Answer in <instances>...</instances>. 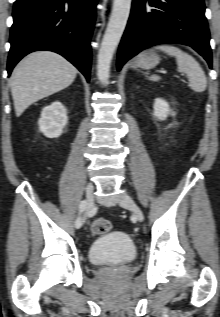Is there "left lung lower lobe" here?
<instances>
[{
	"mask_svg": "<svg viewBox=\"0 0 220 317\" xmlns=\"http://www.w3.org/2000/svg\"><path fill=\"white\" fill-rule=\"evenodd\" d=\"M204 12L203 0H133L119 47L118 70L141 50L163 43L189 45L212 67Z\"/></svg>",
	"mask_w": 220,
	"mask_h": 317,
	"instance_id": "1",
	"label": "left lung lower lobe"
}]
</instances>
